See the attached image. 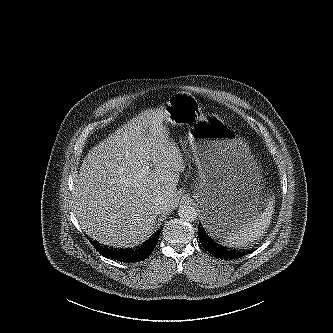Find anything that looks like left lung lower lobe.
<instances>
[{
	"mask_svg": "<svg viewBox=\"0 0 333 333\" xmlns=\"http://www.w3.org/2000/svg\"><path fill=\"white\" fill-rule=\"evenodd\" d=\"M199 241L202 244V246L213 256L217 258H224V259H234V258H240L244 255H246L247 251H236V250H229L225 248L224 246H221L220 244L216 243L206 232L204 227L199 224Z\"/></svg>",
	"mask_w": 333,
	"mask_h": 333,
	"instance_id": "obj_1",
	"label": "left lung lower lobe"
}]
</instances>
